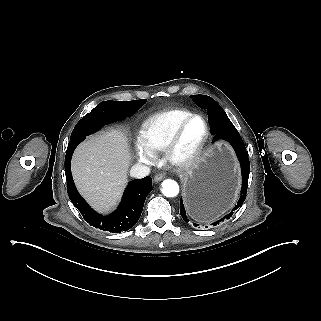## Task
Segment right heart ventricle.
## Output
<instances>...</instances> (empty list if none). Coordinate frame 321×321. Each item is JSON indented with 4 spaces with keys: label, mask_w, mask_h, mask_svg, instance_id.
Wrapping results in <instances>:
<instances>
[{
    "label": "right heart ventricle",
    "mask_w": 321,
    "mask_h": 321,
    "mask_svg": "<svg viewBox=\"0 0 321 321\" xmlns=\"http://www.w3.org/2000/svg\"><path fill=\"white\" fill-rule=\"evenodd\" d=\"M192 114V111L182 107L155 112L143 121L140 138L156 155H160L175 126Z\"/></svg>",
    "instance_id": "e07e8e85"
}]
</instances>
